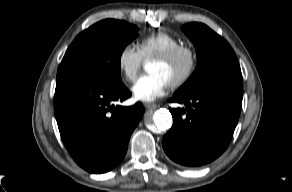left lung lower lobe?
Listing matches in <instances>:
<instances>
[{"label":"left lung lower lobe","instance_id":"left-lung-lower-lobe-1","mask_svg":"<svg viewBox=\"0 0 292 192\" xmlns=\"http://www.w3.org/2000/svg\"><path fill=\"white\" fill-rule=\"evenodd\" d=\"M243 89L214 88L188 95L174 94L170 102L186 108L169 109L173 126L163 137L165 153L190 167L212 162L228 147L238 122Z\"/></svg>","mask_w":292,"mask_h":192}]
</instances>
